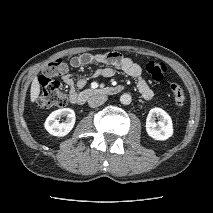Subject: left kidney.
<instances>
[{
  "label": "left kidney",
  "instance_id": "obj_1",
  "mask_svg": "<svg viewBox=\"0 0 213 213\" xmlns=\"http://www.w3.org/2000/svg\"><path fill=\"white\" fill-rule=\"evenodd\" d=\"M154 117H159L160 121L156 123ZM146 131L147 134L155 140H167L173 135L171 117L161 108H152L146 119Z\"/></svg>",
  "mask_w": 213,
  "mask_h": 213
}]
</instances>
